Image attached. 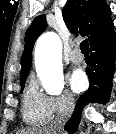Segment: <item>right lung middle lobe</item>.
Listing matches in <instances>:
<instances>
[{
  "mask_svg": "<svg viewBox=\"0 0 116 134\" xmlns=\"http://www.w3.org/2000/svg\"><path fill=\"white\" fill-rule=\"evenodd\" d=\"M25 80H26L25 78L20 80V84H21V87H22L21 91L23 90V87L25 85Z\"/></svg>",
  "mask_w": 116,
  "mask_h": 134,
  "instance_id": "right-lung-middle-lobe-1",
  "label": "right lung middle lobe"
}]
</instances>
